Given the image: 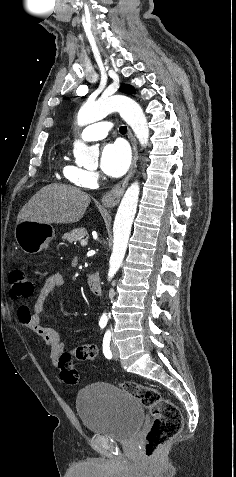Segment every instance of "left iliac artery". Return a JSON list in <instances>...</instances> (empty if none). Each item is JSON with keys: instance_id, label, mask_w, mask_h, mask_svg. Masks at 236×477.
Here are the masks:
<instances>
[{"instance_id": "44dca946", "label": "left iliac artery", "mask_w": 236, "mask_h": 477, "mask_svg": "<svg viewBox=\"0 0 236 477\" xmlns=\"http://www.w3.org/2000/svg\"><path fill=\"white\" fill-rule=\"evenodd\" d=\"M110 341H111V332L108 330L106 331L103 338V353L107 359L112 358V353L110 350Z\"/></svg>"}]
</instances>
